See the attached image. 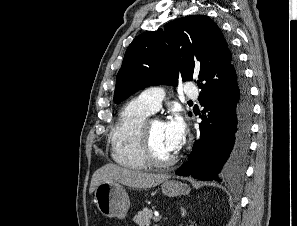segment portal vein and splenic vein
Masks as SVG:
<instances>
[{"label":"portal vein and splenic vein","mask_w":297,"mask_h":226,"mask_svg":"<svg viewBox=\"0 0 297 226\" xmlns=\"http://www.w3.org/2000/svg\"><path fill=\"white\" fill-rule=\"evenodd\" d=\"M160 219H161V215L158 214V215L155 216L154 221L157 222V221H159Z\"/></svg>","instance_id":"18ae733b"}]
</instances>
